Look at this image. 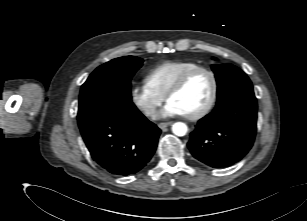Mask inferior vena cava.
<instances>
[{
    "label": "inferior vena cava",
    "mask_w": 307,
    "mask_h": 221,
    "mask_svg": "<svg viewBox=\"0 0 307 221\" xmlns=\"http://www.w3.org/2000/svg\"><path fill=\"white\" fill-rule=\"evenodd\" d=\"M155 113V109H150L148 114H154Z\"/></svg>",
    "instance_id": "obj_1"
}]
</instances>
